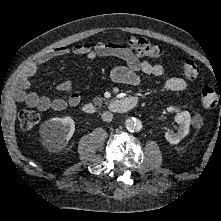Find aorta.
Instances as JSON below:
<instances>
[{
  "instance_id": "762f6f07",
  "label": "aorta",
  "mask_w": 221,
  "mask_h": 221,
  "mask_svg": "<svg viewBox=\"0 0 221 221\" xmlns=\"http://www.w3.org/2000/svg\"><path fill=\"white\" fill-rule=\"evenodd\" d=\"M125 128L130 132H138L142 129V122L139 119L130 117L125 120Z\"/></svg>"
}]
</instances>
